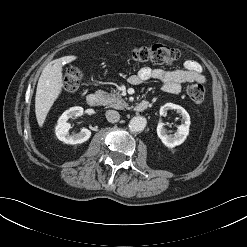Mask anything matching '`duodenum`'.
Returning <instances> with one entry per match:
<instances>
[{"mask_svg":"<svg viewBox=\"0 0 247 247\" xmlns=\"http://www.w3.org/2000/svg\"><path fill=\"white\" fill-rule=\"evenodd\" d=\"M86 103L90 107H95L100 103V96L98 94L92 93L86 97ZM149 107V101L142 100L135 105V110L137 112H143Z\"/></svg>","mask_w":247,"mask_h":247,"instance_id":"duodenum-1","label":"duodenum"}]
</instances>
